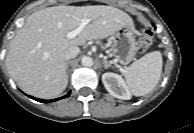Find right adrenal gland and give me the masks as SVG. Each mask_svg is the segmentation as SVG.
<instances>
[{"label": "right adrenal gland", "mask_w": 194, "mask_h": 133, "mask_svg": "<svg viewBox=\"0 0 194 133\" xmlns=\"http://www.w3.org/2000/svg\"><path fill=\"white\" fill-rule=\"evenodd\" d=\"M69 63H70L69 61H68V62H66L67 70H68V68H69V66H68V65H69Z\"/></svg>", "instance_id": "2a0ac1e0"}]
</instances>
